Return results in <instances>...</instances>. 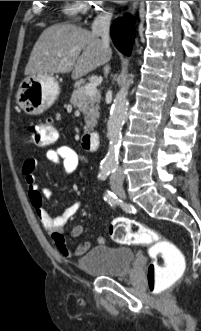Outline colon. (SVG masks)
Returning <instances> with one entry per match:
<instances>
[{
	"label": "colon",
	"mask_w": 201,
	"mask_h": 331,
	"mask_svg": "<svg viewBox=\"0 0 201 331\" xmlns=\"http://www.w3.org/2000/svg\"><path fill=\"white\" fill-rule=\"evenodd\" d=\"M31 137L37 146H47L56 141V130L49 120H37L31 126ZM109 235L119 244L150 245L147 284L150 292L162 300L184 272L185 262L178 248L156 231L124 217L112 221Z\"/></svg>",
	"instance_id": "colon-1"
}]
</instances>
